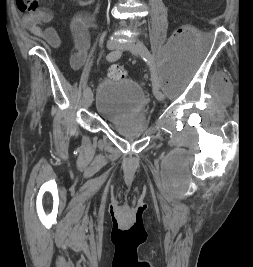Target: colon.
Segmentation results:
<instances>
[{
    "label": "colon",
    "mask_w": 253,
    "mask_h": 267,
    "mask_svg": "<svg viewBox=\"0 0 253 267\" xmlns=\"http://www.w3.org/2000/svg\"><path fill=\"white\" fill-rule=\"evenodd\" d=\"M16 5L23 12H35L39 9L38 0H16ZM108 73L115 80L124 79L127 75L126 68L122 65H112Z\"/></svg>",
    "instance_id": "obj_1"
}]
</instances>
